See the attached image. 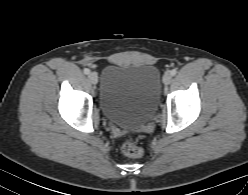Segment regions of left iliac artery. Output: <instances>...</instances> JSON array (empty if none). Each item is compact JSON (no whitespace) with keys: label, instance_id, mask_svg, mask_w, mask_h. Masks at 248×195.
Wrapping results in <instances>:
<instances>
[{"label":"left iliac artery","instance_id":"left-iliac-artery-1","mask_svg":"<svg viewBox=\"0 0 248 195\" xmlns=\"http://www.w3.org/2000/svg\"><path fill=\"white\" fill-rule=\"evenodd\" d=\"M170 73H171V75H172V76H174V75H176V74H177V70H176V69H173V70H171V72H170Z\"/></svg>","mask_w":248,"mask_h":195}]
</instances>
